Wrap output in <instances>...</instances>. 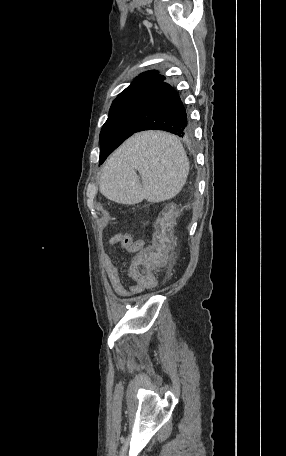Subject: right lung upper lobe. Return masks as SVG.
Masks as SVG:
<instances>
[{"label": "right lung upper lobe", "instance_id": "obj_1", "mask_svg": "<svg viewBox=\"0 0 286 456\" xmlns=\"http://www.w3.org/2000/svg\"><path fill=\"white\" fill-rule=\"evenodd\" d=\"M165 80V76L157 74V71H147L139 75L124 91H122L118 97L114 100H121L130 92L139 89L141 87L148 86L153 83H157Z\"/></svg>", "mask_w": 286, "mask_h": 456}]
</instances>
